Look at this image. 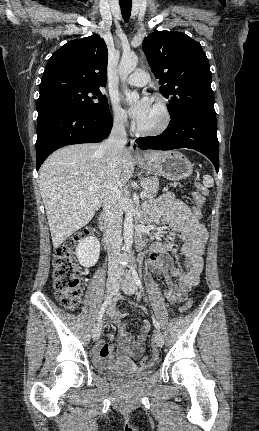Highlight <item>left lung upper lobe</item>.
Here are the masks:
<instances>
[{
	"mask_svg": "<svg viewBox=\"0 0 259 431\" xmlns=\"http://www.w3.org/2000/svg\"><path fill=\"white\" fill-rule=\"evenodd\" d=\"M149 66L169 99L170 116L187 110L216 114L212 75L200 43L182 32L155 31L143 41Z\"/></svg>",
	"mask_w": 259,
	"mask_h": 431,
	"instance_id": "5c2ea615",
	"label": "left lung upper lobe"
}]
</instances>
